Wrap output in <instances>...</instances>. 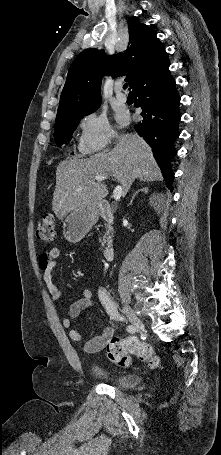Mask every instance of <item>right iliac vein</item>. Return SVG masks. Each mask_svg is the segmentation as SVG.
<instances>
[{"mask_svg": "<svg viewBox=\"0 0 221 455\" xmlns=\"http://www.w3.org/2000/svg\"><path fill=\"white\" fill-rule=\"evenodd\" d=\"M123 309L124 311L126 312L130 322L132 323L134 329L139 332L141 331L144 326H143V323L142 321L140 320V318L133 312V310L127 306V305H123Z\"/></svg>", "mask_w": 221, "mask_h": 455, "instance_id": "right-iliac-vein-1", "label": "right iliac vein"}]
</instances>
